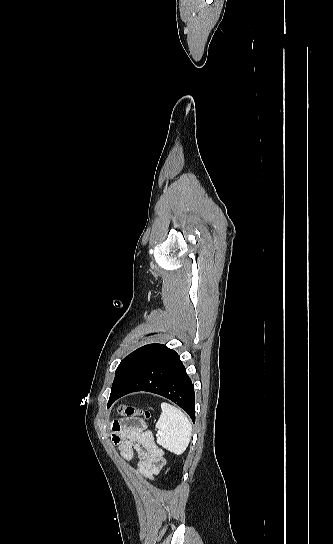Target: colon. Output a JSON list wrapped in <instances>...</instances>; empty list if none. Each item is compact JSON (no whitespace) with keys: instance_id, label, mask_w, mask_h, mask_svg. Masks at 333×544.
<instances>
[{"instance_id":"obj_1","label":"colon","mask_w":333,"mask_h":544,"mask_svg":"<svg viewBox=\"0 0 333 544\" xmlns=\"http://www.w3.org/2000/svg\"><path fill=\"white\" fill-rule=\"evenodd\" d=\"M117 412L121 416H124L128 419H144L148 420L151 418V413L148 410H143L138 407L122 404L117 407Z\"/></svg>"}]
</instances>
